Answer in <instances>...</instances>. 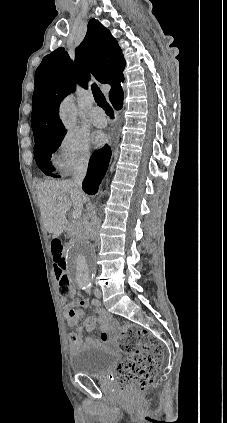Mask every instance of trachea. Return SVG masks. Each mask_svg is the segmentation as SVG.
Segmentation results:
<instances>
[{
	"mask_svg": "<svg viewBox=\"0 0 227 423\" xmlns=\"http://www.w3.org/2000/svg\"><path fill=\"white\" fill-rule=\"evenodd\" d=\"M92 92L94 95V99L95 102L97 103V105L101 108H103V110L105 111V113L109 116H113L114 112L112 107L109 105V103L107 102L104 94L102 93V91L100 90V88L97 87L96 84L92 85Z\"/></svg>",
	"mask_w": 227,
	"mask_h": 423,
	"instance_id": "1",
	"label": "trachea"
}]
</instances>
